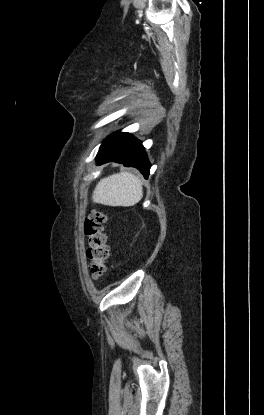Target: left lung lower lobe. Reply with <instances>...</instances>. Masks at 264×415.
I'll use <instances>...</instances> for the list:
<instances>
[{
	"label": "left lung lower lobe",
	"mask_w": 264,
	"mask_h": 415,
	"mask_svg": "<svg viewBox=\"0 0 264 415\" xmlns=\"http://www.w3.org/2000/svg\"><path fill=\"white\" fill-rule=\"evenodd\" d=\"M115 161L140 170L145 178L149 175L150 163L142 143L129 133L116 132L106 138L97 154V164Z\"/></svg>",
	"instance_id": "1"
}]
</instances>
